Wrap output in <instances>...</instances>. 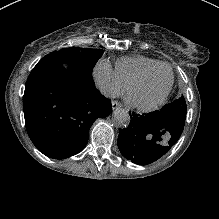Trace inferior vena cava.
<instances>
[{"label": "inferior vena cava", "instance_id": "obj_1", "mask_svg": "<svg viewBox=\"0 0 219 219\" xmlns=\"http://www.w3.org/2000/svg\"><path fill=\"white\" fill-rule=\"evenodd\" d=\"M98 88L101 94L107 98L113 99L118 96V94L107 85H99Z\"/></svg>", "mask_w": 219, "mask_h": 219}]
</instances>
